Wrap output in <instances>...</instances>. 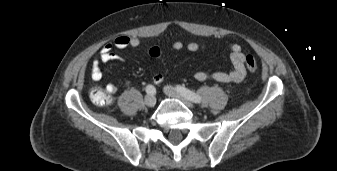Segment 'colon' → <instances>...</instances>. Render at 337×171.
<instances>
[{
  "instance_id": "1",
  "label": "colon",
  "mask_w": 337,
  "mask_h": 171,
  "mask_svg": "<svg viewBox=\"0 0 337 171\" xmlns=\"http://www.w3.org/2000/svg\"><path fill=\"white\" fill-rule=\"evenodd\" d=\"M245 64L250 72L256 71L258 64L254 56L247 55L245 59ZM90 99L92 102L98 106H107L112 102L111 95L101 89H95L90 92Z\"/></svg>"
}]
</instances>
